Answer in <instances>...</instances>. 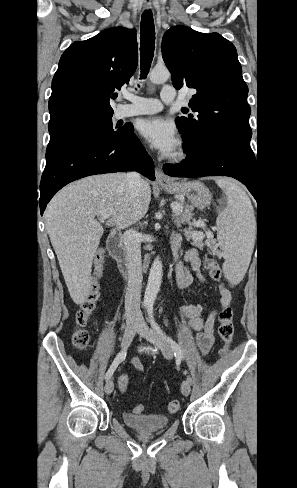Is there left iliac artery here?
Returning a JSON list of instances; mask_svg holds the SVG:
<instances>
[{"mask_svg":"<svg viewBox=\"0 0 297 488\" xmlns=\"http://www.w3.org/2000/svg\"><path fill=\"white\" fill-rule=\"evenodd\" d=\"M148 314H149V319H150V323L152 325V327L154 329L157 330V332L162 335L164 338H167V341L171 344L174 352H175V356L177 358H183L184 357V353H183V350L181 349V347L174 341L172 340L170 337H167L166 334L160 329V327L158 326V324L156 323L154 317H153V308H148ZM187 380H189L190 382H192V379L190 376H187Z\"/></svg>","mask_w":297,"mask_h":488,"instance_id":"1","label":"left iliac artery"}]
</instances>
